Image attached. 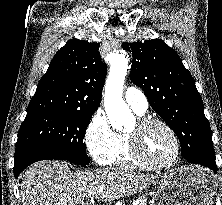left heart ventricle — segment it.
I'll return each instance as SVG.
<instances>
[{"mask_svg":"<svg viewBox=\"0 0 222 205\" xmlns=\"http://www.w3.org/2000/svg\"><path fill=\"white\" fill-rule=\"evenodd\" d=\"M135 126L131 129L133 130ZM145 154L158 163L168 162L174 155L175 146L170 134L161 126L147 128L142 137Z\"/></svg>","mask_w":222,"mask_h":205,"instance_id":"left-heart-ventricle-1","label":"left heart ventricle"}]
</instances>
